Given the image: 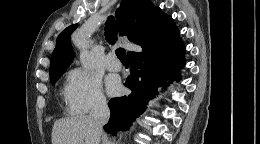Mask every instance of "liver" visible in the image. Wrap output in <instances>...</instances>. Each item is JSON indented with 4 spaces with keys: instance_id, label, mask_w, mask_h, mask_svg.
Instances as JSON below:
<instances>
[{
    "instance_id": "obj_1",
    "label": "liver",
    "mask_w": 260,
    "mask_h": 144,
    "mask_svg": "<svg viewBox=\"0 0 260 144\" xmlns=\"http://www.w3.org/2000/svg\"><path fill=\"white\" fill-rule=\"evenodd\" d=\"M100 134L87 115L57 120L52 129V144H99Z\"/></svg>"
}]
</instances>
